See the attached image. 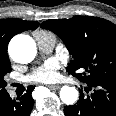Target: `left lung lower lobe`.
Returning <instances> with one entry per match:
<instances>
[{
  "mask_svg": "<svg viewBox=\"0 0 116 116\" xmlns=\"http://www.w3.org/2000/svg\"><path fill=\"white\" fill-rule=\"evenodd\" d=\"M84 96L81 92L76 105L64 108L65 116H116V79L86 83Z\"/></svg>",
  "mask_w": 116,
  "mask_h": 116,
  "instance_id": "left-lung-lower-lobe-1",
  "label": "left lung lower lobe"
}]
</instances>
